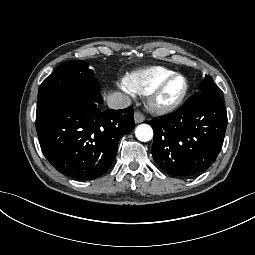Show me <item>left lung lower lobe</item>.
Wrapping results in <instances>:
<instances>
[{
	"mask_svg": "<svg viewBox=\"0 0 255 255\" xmlns=\"http://www.w3.org/2000/svg\"><path fill=\"white\" fill-rule=\"evenodd\" d=\"M154 130L152 156L168 174L194 177L217 158L227 127V112L219 96L199 93L181 109L150 121Z\"/></svg>",
	"mask_w": 255,
	"mask_h": 255,
	"instance_id": "obj_1",
	"label": "left lung lower lobe"
}]
</instances>
